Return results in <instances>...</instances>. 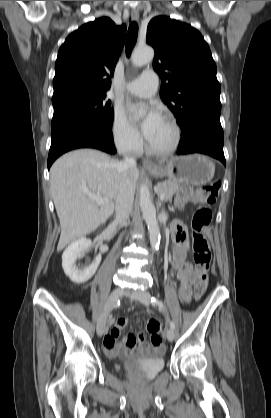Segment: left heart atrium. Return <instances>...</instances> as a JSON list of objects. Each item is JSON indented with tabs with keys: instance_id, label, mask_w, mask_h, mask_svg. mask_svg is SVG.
<instances>
[{
	"instance_id": "1",
	"label": "left heart atrium",
	"mask_w": 271,
	"mask_h": 418,
	"mask_svg": "<svg viewBox=\"0 0 271 418\" xmlns=\"http://www.w3.org/2000/svg\"><path fill=\"white\" fill-rule=\"evenodd\" d=\"M137 110L144 111L145 113L144 118L141 121L140 128L144 136L150 140L162 122L163 117L157 109L148 107L144 104L138 105Z\"/></svg>"
}]
</instances>
